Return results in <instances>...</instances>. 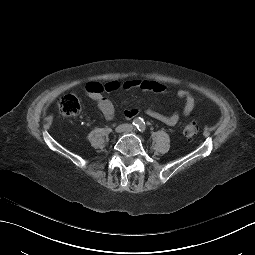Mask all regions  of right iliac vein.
Listing matches in <instances>:
<instances>
[{
	"mask_svg": "<svg viewBox=\"0 0 255 255\" xmlns=\"http://www.w3.org/2000/svg\"><path fill=\"white\" fill-rule=\"evenodd\" d=\"M126 130H127L126 125H119V126L116 127L115 132L120 134V133H123Z\"/></svg>",
	"mask_w": 255,
	"mask_h": 255,
	"instance_id": "obj_1",
	"label": "right iliac vein"
}]
</instances>
